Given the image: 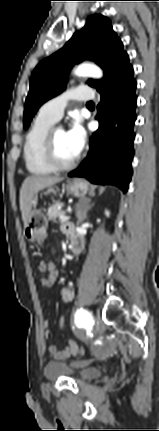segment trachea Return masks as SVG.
<instances>
[{
	"label": "trachea",
	"instance_id": "3493384b",
	"mask_svg": "<svg viewBox=\"0 0 159 431\" xmlns=\"http://www.w3.org/2000/svg\"><path fill=\"white\" fill-rule=\"evenodd\" d=\"M94 103L92 101L88 102L87 105H93Z\"/></svg>",
	"mask_w": 159,
	"mask_h": 431
}]
</instances>
